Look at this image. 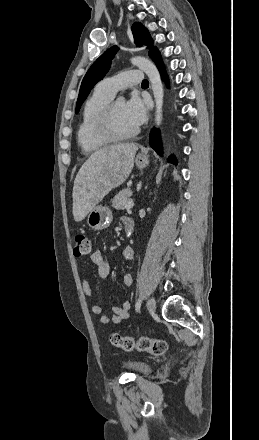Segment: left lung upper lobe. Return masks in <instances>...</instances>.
I'll return each instance as SVG.
<instances>
[{
  "label": "left lung upper lobe",
  "mask_w": 259,
  "mask_h": 440,
  "mask_svg": "<svg viewBox=\"0 0 259 440\" xmlns=\"http://www.w3.org/2000/svg\"><path fill=\"white\" fill-rule=\"evenodd\" d=\"M132 32L135 43L138 46H142L144 44L150 47L149 55L151 56L157 48L152 46L153 41L150 37L148 30L141 23H135L132 26ZM117 50L118 48L116 46L109 48L93 63V65L86 73L80 87V92L76 104V113L79 111L82 103L85 101L94 85L102 80L108 72L111 61L114 58Z\"/></svg>",
  "instance_id": "5c2ea615"
}]
</instances>
